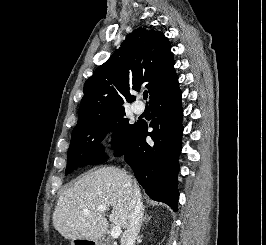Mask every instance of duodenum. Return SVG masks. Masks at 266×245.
Returning a JSON list of instances; mask_svg holds the SVG:
<instances>
[{
	"mask_svg": "<svg viewBox=\"0 0 266 245\" xmlns=\"http://www.w3.org/2000/svg\"><path fill=\"white\" fill-rule=\"evenodd\" d=\"M76 245H104L103 237H75Z\"/></svg>",
	"mask_w": 266,
	"mask_h": 245,
	"instance_id": "1",
	"label": "duodenum"
}]
</instances>
